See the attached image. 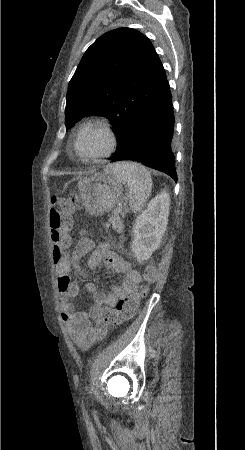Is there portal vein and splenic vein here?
Segmentation results:
<instances>
[{
	"instance_id": "portal-vein-and-splenic-vein-1",
	"label": "portal vein and splenic vein",
	"mask_w": 245,
	"mask_h": 450,
	"mask_svg": "<svg viewBox=\"0 0 245 450\" xmlns=\"http://www.w3.org/2000/svg\"><path fill=\"white\" fill-rule=\"evenodd\" d=\"M122 209H123V206L121 205V206H119V208L115 209L114 213H119L122 211Z\"/></svg>"
}]
</instances>
